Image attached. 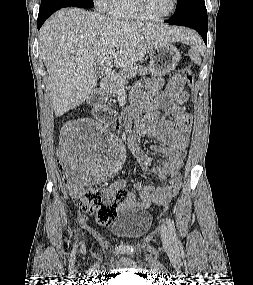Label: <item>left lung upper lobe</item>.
Wrapping results in <instances>:
<instances>
[{"label": "left lung upper lobe", "mask_w": 253, "mask_h": 285, "mask_svg": "<svg viewBox=\"0 0 253 285\" xmlns=\"http://www.w3.org/2000/svg\"><path fill=\"white\" fill-rule=\"evenodd\" d=\"M193 0H178L177 2V11L181 10L186 4L190 3Z\"/></svg>", "instance_id": "5c2ea615"}]
</instances>
